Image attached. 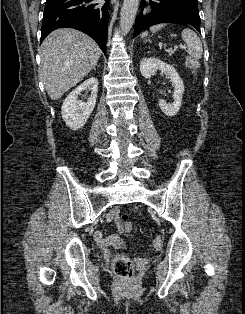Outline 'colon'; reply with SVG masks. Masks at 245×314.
Instances as JSON below:
<instances>
[{
	"label": "colon",
	"mask_w": 245,
	"mask_h": 314,
	"mask_svg": "<svg viewBox=\"0 0 245 314\" xmlns=\"http://www.w3.org/2000/svg\"><path fill=\"white\" fill-rule=\"evenodd\" d=\"M187 66L195 73L198 63L194 59H188ZM121 229L122 231L129 232L131 230V225L128 221V217L126 214H122L120 217ZM152 248L155 250H159L162 247V241L160 239H154L151 244ZM113 270L117 275L122 277L125 280H130L133 276L134 265L132 261L124 256H116L112 262Z\"/></svg>",
	"instance_id": "colon-1"
}]
</instances>
